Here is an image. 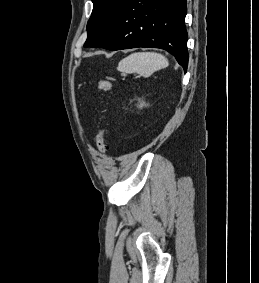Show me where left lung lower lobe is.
I'll list each match as a JSON object with an SVG mask.
<instances>
[{"mask_svg": "<svg viewBox=\"0 0 259 283\" xmlns=\"http://www.w3.org/2000/svg\"><path fill=\"white\" fill-rule=\"evenodd\" d=\"M186 0H126L107 33L90 47L161 48L187 70Z\"/></svg>", "mask_w": 259, "mask_h": 283, "instance_id": "left-lung-lower-lobe-1", "label": "left lung lower lobe"}]
</instances>
